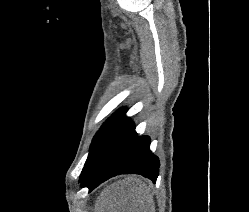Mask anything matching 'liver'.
Returning a JSON list of instances; mask_svg holds the SVG:
<instances>
[{"mask_svg": "<svg viewBox=\"0 0 249 212\" xmlns=\"http://www.w3.org/2000/svg\"><path fill=\"white\" fill-rule=\"evenodd\" d=\"M139 176H125L107 186L97 198L96 212H155L153 196Z\"/></svg>", "mask_w": 249, "mask_h": 212, "instance_id": "obj_1", "label": "liver"}]
</instances>
